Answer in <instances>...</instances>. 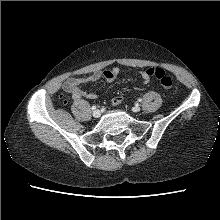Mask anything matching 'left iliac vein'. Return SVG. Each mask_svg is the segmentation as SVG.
<instances>
[{
    "label": "left iliac vein",
    "mask_w": 220,
    "mask_h": 220,
    "mask_svg": "<svg viewBox=\"0 0 220 220\" xmlns=\"http://www.w3.org/2000/svg\"><path fill=\"white\" fill-rule=\"evenodd\" d=\"M141 110V108L138 106V105H135L133 108H132V111L133 112H139Z\"/></svg>",
    "instance_id": "4c4485c4"
}]
</instances>
